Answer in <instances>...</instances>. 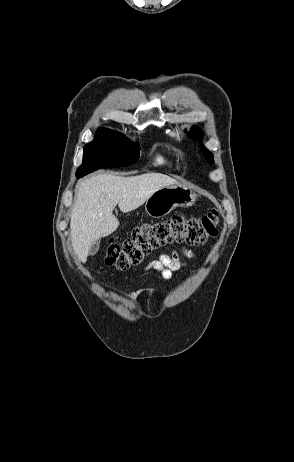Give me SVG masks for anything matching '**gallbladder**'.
I'll list each match as a JSON object with an SVG mask.
<instances>
[{"instance_id":"gallbladder-1","label":"gallbladder","mask_w":294,"mask_h":462,"mask_svg":"<svg viewBox=\"0 0 294 462\" xmlns=\"http://www.w3.org/2000/svg\"><path fill=\"white\" fill-rule=\"evenodd\" d=\"M99 247H100L99 242L96 241L95 243H93V244L90 246V248H89V253H88V254H89L90 256H94V255L98 252Z\"/></svg>"}]
</instances>
